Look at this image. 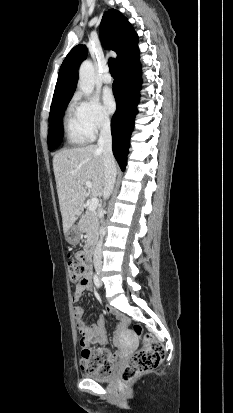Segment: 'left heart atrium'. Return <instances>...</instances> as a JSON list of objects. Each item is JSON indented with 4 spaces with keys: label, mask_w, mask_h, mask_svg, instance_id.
<instances>
[{
    "label": "left heart atrium",
    "mask_w": 233,
    "mask_h": 413,
    "mask_svg": "<svg viewBox=\"0 0 233 413\" xmlns=\"http://www.w3.org/2000/svg\"><path fill=\"white\" fill-rule=\"evenodd\" d=\"M103 102H104V105H105L106 109L109 112L112 113V112L115 111V109H116V100H115V97H114L113 93L109 89H106L103 92Z\"/></svg>",
    "instance_id": "39dd6f15"
}]
</instances>
